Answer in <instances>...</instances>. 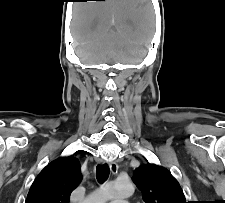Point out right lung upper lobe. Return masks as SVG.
<instances>
[{
  "label": "right lung upper lobe",
  "mask_w": 225,
  "mask_h": 203,
  "mask_svg": "<svg viewBox=\"0 0 225 203\" xmlns=\"http://www.w3.org/2000/svg\"><path fill=\"white\" fill-rule=\"evenodd\" d=\"M80 168L72 155L49 163L34 180L25 203H69L82 179Z\"/></svg>",
  "instance_id": "obj_1"
}]
</instances>
